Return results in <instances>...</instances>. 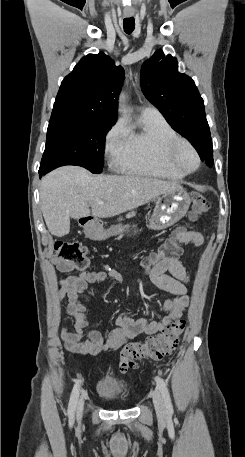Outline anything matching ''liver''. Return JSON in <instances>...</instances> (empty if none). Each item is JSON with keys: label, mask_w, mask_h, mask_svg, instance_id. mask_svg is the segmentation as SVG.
Masks as SVG:
<instances>
[{"label": "liver", "mask_w": 245, "mask_h": 457, "mask_svg": "<svg viewBox=\"0 0 245 457\" xmlns=\"http://www.w3.org/2000/svg\"><path fill=\"white\" fill-rule=\"evenodd\" d=\"M176 188H182L181 184L169 180L137 174H91L82 166H59L43 176L40 204L48 231L64 237L70 231V216L82 218L90 212L93 216H115Z\"/></svg>", "instance_id": "6515ba94"}]
</instances>
